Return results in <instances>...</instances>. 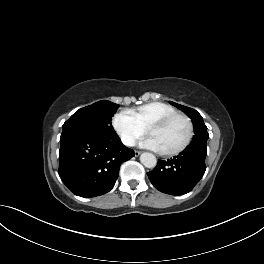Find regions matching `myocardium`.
Returning a JSON list of instances; mask_svg holds the SVG:
<instances>
[{
	"mask_svg": "<svg viewBox=\"0 0 264 264\" xmlns=\"http://www.w3.org/2000/svg\"><path fill=\"white\" fill-rule=\"evenodd\" d=\"M176 118H182L186 121V123L188 125V135H187L185 141L180 146H178L177 148H174V149L169 150V151H161V153L164 155H168V156L177 155V154L181 153L182 151H184L190 145L192 138L194 136V125H193L191 118L184 113L174 112V113L167 115L164 118L160 119L158 122L153 124L148 129V134L152 135L154 132L159 131V130L163 129L164 127H166L172 120H174Z\"/></svg>",
	"mask_w": 264,
	"mask_h": 264,
	"instance_id": "1",
	"label": "myocardium"
}]
</instances>
